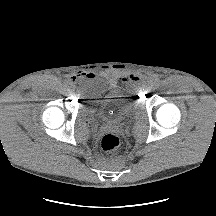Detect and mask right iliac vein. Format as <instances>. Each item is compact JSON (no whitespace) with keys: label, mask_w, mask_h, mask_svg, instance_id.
Instances as JSON below:
<instances>
[{"label":"right iliac vein","mask_w":216,"mask_h":216,"mask_svg":"<svg viewBox=\"0 0 216 216\" xmlns=\"http://www.w3.org/2000/svg\"><path fill=\"white\" fill-rule=\"evenodd\" d=\"M71 94H76V89H71Z\"/></svg>","instance_id":"63e3f726"}]
</instances>
